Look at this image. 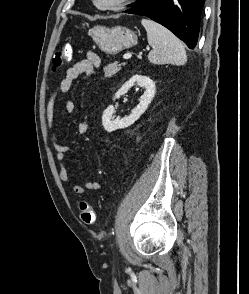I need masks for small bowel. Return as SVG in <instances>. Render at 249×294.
<instances>
[{
	"label": "small bowel",
	"instance_id": "c3829d8e",
	"mask_svg": "<svg viewBox=\"0 0 249 294\" xmlns=\"http://www.w3.org/2000/svg\"><path fill=\"white\" fill-rule=\"evenodd\" d=\"M100 66L101 58L95 52L89 51L85 59L76 62L73 66L67 69L65 77L52 91L46 107L48 139L56 154V160L59 166V178L62 183L70 186L71 192L75 195H82L86 190L98 191L102 188V184L99 181H87L81 185L75 183L71 178L65 166V159L68 153L74 152V149L61 143L58 138L54 125L55 104L58 95H66L69 93L72 83L75 79H77L81 74L92 75L95 69L99 68ZM65 109L69 114L74 113L76 109L75 103L72 100L66 101ZM77 131L81 135L88 133L89 123L87 121H80L77 126Z\"/></svg>",
	"mask_w": 249,
	"mask_h": 294
}]
</instances>
